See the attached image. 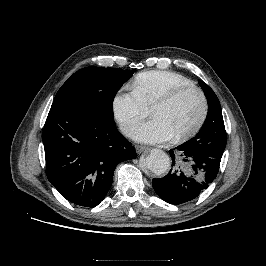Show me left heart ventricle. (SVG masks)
Returning <instances> with one entry per match:
<instances>
[{
	"mask_svg": "<svg viewBox=\"0 0 266 266\" xmlns=\"http://www.w3.org/2000/svg\"><path fill=\"white\" fill-rule=\"evenodd\" d=\"M201 99L195 91L181 95L173 103L156 108L152 115L163 120L172 130L174 136L190 129L201 113Z\"/></svg>",
	"mask_w": 266,
	"mask_h": 266,
	"instance_id": "1",
	"label": "left heart ventricle"
}]
</instances>
